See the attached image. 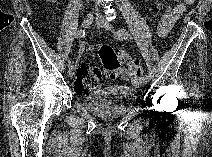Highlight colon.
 Returning <instances> with one entry per match:
<instances>
[{
  "label": "colon",
  "instance_id": "obj_1",
  "mask_svg": "<svg viewBox=\"0 0 212 157\" xmlns=\"http://www.w3.org/2000/svg\"><path fill=\"white\" fill-rule=\"evenodd\" d=\"M99 57L104 74L110 79L124 75L127 79L138 78L142 73L134 58L127 52L103 45L99 49ZM126 68H129L126 70ZM102 70L97 67H78L74 84L75 91L84 94L93 89L100 81Z\"/></svg>",
  "mask_w": 212,
  "mask_h": 157
}]
</instances>
